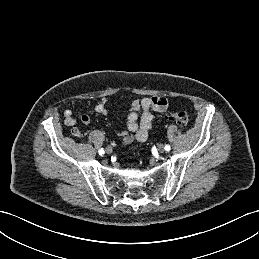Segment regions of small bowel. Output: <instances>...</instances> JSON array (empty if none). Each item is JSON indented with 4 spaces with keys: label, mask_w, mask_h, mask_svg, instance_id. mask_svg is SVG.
<instances>
[{
    "label": "small bowel",
    "mask_w": 259,
    "mask_h": 259,
    "mask_svg": "<svg viewBox=\"0 0 259 259\" xmlns=\"http://www.w3.org/2000/svg\"><path fill=\"white\" fill-rule=\"evenodd\" d=\"M107 105L108 100L102 98L95 106V111L98 114L107 115ZM167 107L168 101L162 96L144 97L140 100H134L130 105L125 129L122 131V142L124 144H129L135 141H146L154 120L153 112L162 113ZM63 115L64 123L67 126H73L76 123V119L73 116L71 109H66ZM80 120L84 124L90 123V117L86 114L81 115Z\"/></svg>",
    "instance_id": "small-bowel-1"
}]
</instances>
